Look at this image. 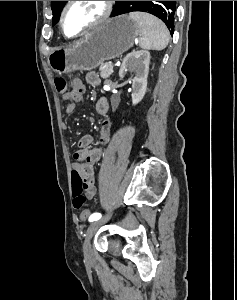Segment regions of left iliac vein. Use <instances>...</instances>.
Returning a JSON list of instances; mask_svg holds the SVG:
<instances>
[{
    "mask_svg": "<svg viewBox=\"0 0 237 300\" xmlns=\"http://www.w3.org/2000/svg\"><path fill=\"white\" fill-rule=\"evenodd\" d=\"M111 216V213H109L107 215V218L103 221H95L92 222L87 231H86V235H85V240L83 243V254H84V262L87 266H91L93 261H94V257H93V252L91 249V245H90V240L93 237L94 233L97 231V229Z\"/></svg>",
    "mask_w": 237,
    "mask_h": 300,
    "instance_id": "left-iliac-vein-1",
    "label": "left iliac vein"
}]
</instances>
